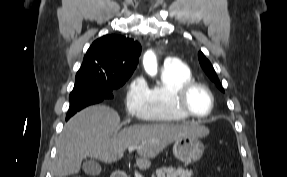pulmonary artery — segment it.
<instances>
[{
    "instance_id": "pulmonary-artery-1",
    "label": "pulmonary artery",
    "mask_w": 287,
    "mask_h": 177,
    "mask_svg": "<svg viewBox=\"0 0 287 177\" xmlns=\"http://www.w3.org/2000/svg\"><path fill=\"white\" fill-rule=\"evenodd\" d=\"M178 63V59L175 57H169L165 60L164 64L165 65H174Z\"/></svg>"
}]
</instances>
